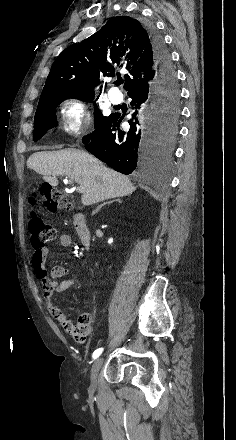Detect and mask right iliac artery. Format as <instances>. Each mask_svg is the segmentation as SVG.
<instances>
[{"mask_svg":"<svg viewBox=\"0 0 236 440\" xmlns=\"http://www.w3.org/2000/svg\"><path fill=\"white\" fill-rule=\"evenodd\" d=\"M102 352H103V348H98L97 350H95L92 355L93 359L98 358Z\"/></svg>","mask_w":236,"mask_h":440,"instance_id":"right-iliac-artery-1","label":"right iliac artery"}]
</instances>
